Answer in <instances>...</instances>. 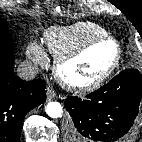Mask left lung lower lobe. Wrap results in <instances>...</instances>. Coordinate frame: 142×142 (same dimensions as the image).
Returning <instances> with one entry per match:
<instances>
[{"instance_id":"1","label":"left lung lower lobe","mask_w":142,"mask_h":142,"mask_svg":"<svg viewBox=\"0 0 142 142\" xmlns=\"http://www.w3.org/2000/svg\"><path fill=\"white\" fill-rule=\"evenodd\" d=\"M142 100V75L138 70L120 72L85 100L65 101L71 116L69 142H121L130 134Z\"/></svg>"}]
</instances>
